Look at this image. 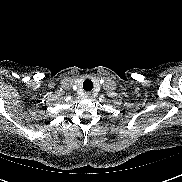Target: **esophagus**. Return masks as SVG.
Returning a JSON list of instances; mask_svg holds the SVG:
<instances>
[{
  "instance_id": "obj_1",
  "label": "esophagus",
  "mask_w": 182,
  "mask_h": 182,
  "mask_svg": "<svg viewBox=\"0 0 182 182\" xmlns=\"http://www.w3.org/2000/svg\"><path fill=\"white\" fill-rule=\"evenodd\" d=\"M85 97L88 98V99H91L93 97L92 92H86Z\"/></svg>"
}]
</instances>
